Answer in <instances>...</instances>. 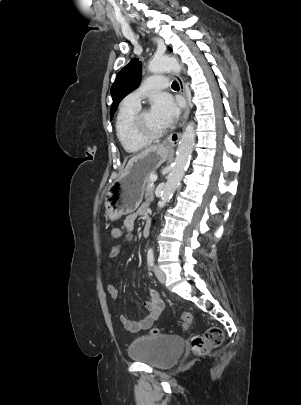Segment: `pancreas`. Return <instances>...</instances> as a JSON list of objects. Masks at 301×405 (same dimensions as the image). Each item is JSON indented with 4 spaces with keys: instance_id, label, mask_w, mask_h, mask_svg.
I'll return each instance as SVG.
<instances>
[{
    "instance_id": "pancreas-1",
    "label": "pancreas",
    "mask_w": 301,
    "mask_h": 405,
    "mask_svg": "<svg viewBox=\"0 0 301 405\" xmlns=\"http://www.w3.org/2000/svg\"><path fill=\"white\" fill-rule=\"evenodd\" d=\"M145 190H146L145 199L147 201H153V199H154V187L152 186V181L150 180V177H149V179L147 181V185H146Z\"/></svg>"
}]
</instances>
